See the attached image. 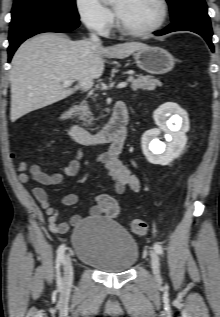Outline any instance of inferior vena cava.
I'll return each mask as SVG.
<instances>
[{
  "label": "inferior vena cava",
  "instance_id": "inferior-vena-cava-1",
  "mask_svg": "<svg viewBox=\"0 0 220 317\" xmlns=\"http://www.w3.org/2000/svg\"><path fill=\"white\" fill-rule=\"evenodd\" d=\"M90 40L93 44H101L99 37H97L95 34L90 35Z\"/></svg>",
  "mask_w": 220,
  "mask_h": 317
}]
</instances>
